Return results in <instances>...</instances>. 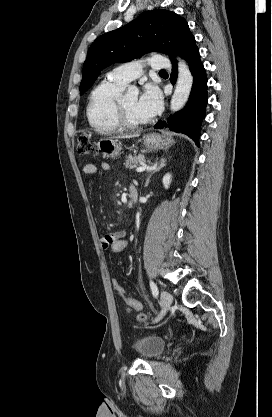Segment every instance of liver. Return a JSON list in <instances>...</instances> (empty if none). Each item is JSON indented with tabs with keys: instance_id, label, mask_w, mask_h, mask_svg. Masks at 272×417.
Returning a JSON list of instances; mask_svg holds the SVG:
<instances>
[{
	"instance_id": "obj_1",
	"label": "liver",
	"mask_w": 272,
	"mask_h": 417,
	"mask_svg": "<svg viewBox=\"0 0 272 417\" xmlns=\"http://www.w3.org/2000/svg\"><path fill=\"white\" fill-rule=\"evenodd\" d=\"M138 135H139V134H135V135H123V136H118L117 138L127 139V138L137 137Z\"/></svg>"
}]
</instances>
